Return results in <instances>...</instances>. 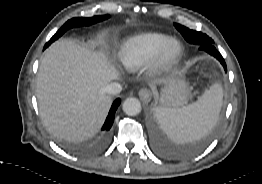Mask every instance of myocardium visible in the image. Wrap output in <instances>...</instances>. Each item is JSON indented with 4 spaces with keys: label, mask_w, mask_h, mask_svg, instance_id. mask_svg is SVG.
<instances>
[{
    "label": "myocardium",
    "mask_w": 262,
    "mask_h": 184,
    "mask_svg": "<svg viewBox=\"0 0 262 184\" xmlns=\"http://www.w3.org/2000/svg\"><path fill=\"white\" fill-rule=\"evenodd\" d=\"M184 52L182 43L177 39L169 40L151 61L154 71H164L179 62Z\"/></svg>",
    "instance_id": "f54148a6"
}]
</instances>
